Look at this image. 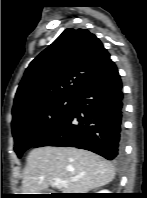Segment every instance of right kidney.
<instances>
[{
  "mask_svg": "<svg viewBox=\"0 0 147 198\" xmlns=\"http://www.w3.org/2000/svg\"><path fill=\"white\" fill-rule=\"evenodd\" d=\"M111 191H108L107 189H103L101 191H98V193H110Z\"/></svg>",
  "mask_w": 147,
  "mask_h": 198,
  "instance_id": "obj_1",
  "label": "right kidney"
}]
</instances>
